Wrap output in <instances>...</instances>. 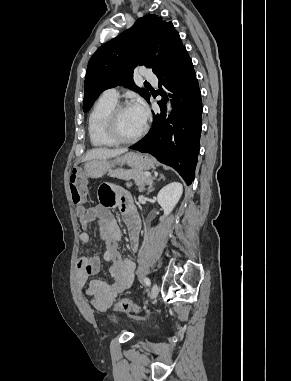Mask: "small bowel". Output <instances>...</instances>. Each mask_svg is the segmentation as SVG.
I'll return each mask as SVG.
<instances>
[{
    "mask_svg": "<svg viewBox=\"0 0 291 381\" xmlns=\"http://www.w3.org/2000/svg\"><path fill=\"white\" fill-rule=\"evenodd\" d=\"M100 196L109 198V204H100L88 208L81 216L80 223L82 230L79 240L82 244L89 246L91 243L88 233L89 224L92 221L99 222V233L106 245L103 256L105 262L109 264V274L112 282L101 279H93L89 282L87 294L91 297V305L98 311L107 310L115 297L123 290L129 288L133 282L135 264L129 258H123L118 250V241L121 239V230L112 217L110 208L119 202V211L124 224L128 230L130 247L137 251L139 247L141 223L133 208L128 194L116 192L113 188H101ZM78 273L76 281L79 288H83L88 277L100 272L101 261L98 257H80L76 263Z\"/></svg>",
    "mask_w": 291,
    "mask_h": 381,
    "instance_id": "small-bowel-1",
    "label": "small bowel"
}]
</instances>
